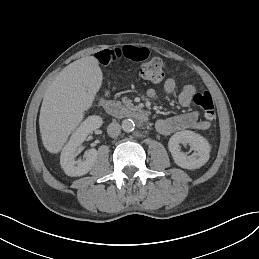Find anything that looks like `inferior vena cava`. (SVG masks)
I'll return each instance as SVG.
<instances>
[{
  "mask_svg": "<svg viewBox=\"0 0 259 259\" xmlns=\"http://www.w3.org/2000/svg\"><path fill=\"white\" fill-rule=\"evenodd\" d=\"M120 132H121V126L116 122L109 124L107 127V133L112 138L118 137Z\"/></svg>",
  "mask_w": 259,
  "mask_h": 259,
  "instance_id": "1",
  "label": "inferior vena cava"
}]
</instances>
